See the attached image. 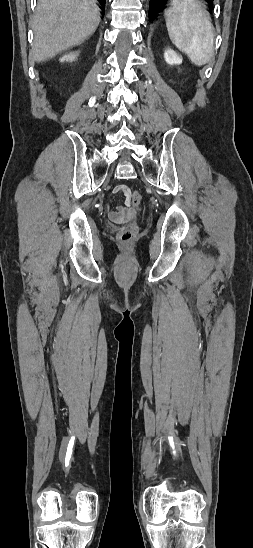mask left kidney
Wrapping results in <instances>:
<instances>
[{"mask_svg":"<svg viewBox=\"0 0 253 548\" xmlns=\"http://www.w3.org/2000/svg\"><path fill=\"white\" fill-rule=\"evenodd\" d=\"M164 58L169 65H179L182 63V57L172 49H167L164 52Z\"/></svg>","mask_w":253,"mask_h":548,"instance_id":"left-kidney-1","label":"left kidney"}]
</instances>
